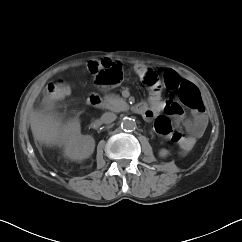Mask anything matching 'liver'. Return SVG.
I'll use <instances>...</instances> for the list:
<instances>
[{
  "instance_id": "liver-1",
  "label": "liver",
  "mask_w": 242,
  "mask_h": 242,
  "mask_svg": "<svg viewBox=\"0 0 242 242\" xmlns=\"http://www.w3.org/2000/svg\"><path fill=\"white\" fill-rule=\"evenodd\" d=\"M30 127L35 141L46 146L63 144L64 127L55 113L32 112Z\"/></svg>"
}]
</instances>
